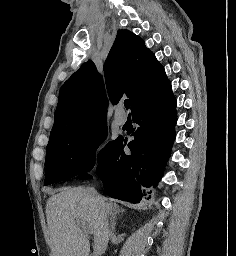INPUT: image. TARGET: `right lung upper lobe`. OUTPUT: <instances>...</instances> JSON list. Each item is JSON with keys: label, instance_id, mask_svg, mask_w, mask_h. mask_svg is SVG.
Returning <instances> with one entry per match:
<instances>
[{"label": "right lung upper lobe", "instance_id": "right-lung-upper-lobe-1", "mask_svg": "<svg viewBox=\"0 0 236 256\" xmlns=\"http://www.w3.org/2000/svg\"><path fill=\"white\" fill-rule=\"evenodd\" d=\"M108 96L116 104L123 94L131 110L168 79L163 66L144 41L128 30H119L104 64ZM107 98L104 83L92 61L84 63L62 86L50 139L93 122L105 121Z\"/></svg>", "mask_w": 236, "mask_h": 256}]
</instances>
